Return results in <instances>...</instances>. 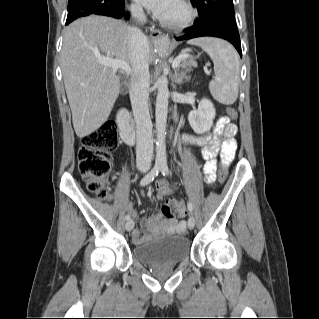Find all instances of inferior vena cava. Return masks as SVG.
Instances as JSON below:
<instances>
[{
    "label": "inferior vena cava",
    "mask_w": 319,
    "mask_h": 319,
    "mask_svg": "<svg viewBox=\"0 0 319 319\" xmlns=\"http://www.w3.org/2000/svg\"><path fill=\"white\" fill-rule=\"evenodd\" d=\"M130 11L138 21H145L141 5H132ZM129 49L133 78L130 83V100L136 122V165L140 170L151 167L153 155L152 122L148 109L149 45L138 28H129Z\"/></svg>",
    "instance_id": "inferior-vena-cava-1"
}]
</instances>
